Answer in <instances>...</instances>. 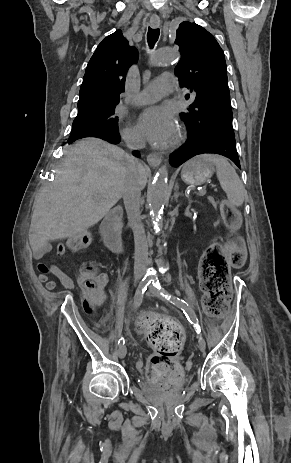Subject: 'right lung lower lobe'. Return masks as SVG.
Listing matches in <instances>:
<instances>
[{
    "label": "right lung lower lobe",
    "mask_w": 291,
    "mask_h": 463,
    "mask_svg": "<svg viewBox=\"0 0 291 463\" xmlns=\"http://www.w3.org/2000/svg\"><path fill=\"white\" fill-rule=\"evenodd\" d=\"M84 137H96V138H101L103 140H106L110 143H113V144H117L120 142V135H119V132L116 131V132H105V133H94V134H90V135H86V136H83V137H80V138H84ZM78 138V139H80ZM75 140L77 139H73V140H68V143H72L74 142ZM135 156H139V152L138 151H135L133 153Z\"/></svg>",
    "instance_id": "obj_1"
}]
</instances>
